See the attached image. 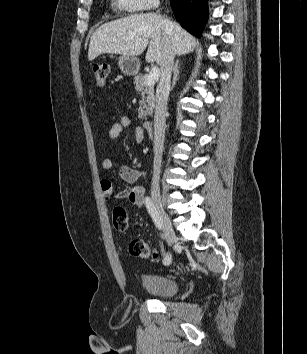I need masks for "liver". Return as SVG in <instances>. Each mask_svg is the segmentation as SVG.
Returning a JSON list of instances; mask_svg holds the SVG:
<instances>
[{"mask_svg":"<svg viewBox=\"0 0 307 354\" xmlns=\"http://www.w3.org/2000/svg\"><path fill=\"white\" fill-rule=\"evenodd\" d=\"M164 20L168 19L155 13H145L103 24L91 36L89 61L105 53L135 57L142 54L149 44L146 61L160 64L166 35L171 41L174 55L192 52L198 45L197 40L178 23L170 20L166 33Z\"/></svg>","mask_w":307,"mask_h":354,"instance_id":"liver-1","label":"liver"}]
</instances>
